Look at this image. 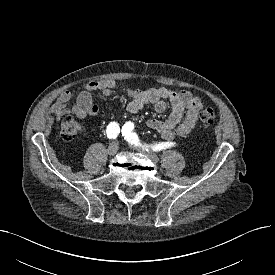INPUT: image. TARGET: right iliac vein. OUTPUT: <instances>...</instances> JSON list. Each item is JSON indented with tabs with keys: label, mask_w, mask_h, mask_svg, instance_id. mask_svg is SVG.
Instances as JSON below:
<instances>
[{
	"label": "right iliac vein",
	"mask_w": 275,
	"mask_h": 275,
	"mask_svg": "<svg viewBox=\"0 0 275 275\" xmlns=\"http://www.w3.org/2000/svg\"><path fill=\"white\" fill-rule=\"evenodd\" d=\"M118 149H119L118 143L112 142L107 148V153L113 156L117 153Z\"/></svg>",
	"instance_id": "right-iliac-vein-1"
}]
</instances>
